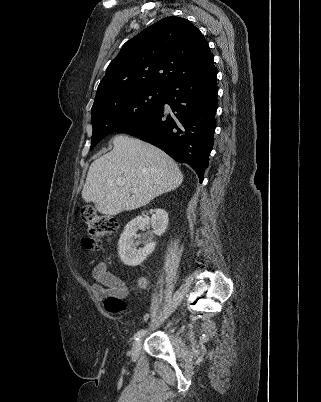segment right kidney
Instances as JSON below:
<instances>
[{"label":"right kidney","instance_id":"1","mask_svg":"<svg viewBox=\"0 0 321 402\" xmlns=\"http://www.w3.org/2000/svg\"><path fill=\"white\" fill-rule=\"evenodd\" d=\"M168 221V213L165 210L159 208L154 210L151 225L157 236H161L166 231ZM146 224L148 223L142 216H137L127 223L120 236L118 254L121 261L127 266L140 265L155 249L156 242L147 243L139 249L134 246L137 231L144 228Z\"/></svg>","mask_w":321,"mask_h":402}]
</instances>
